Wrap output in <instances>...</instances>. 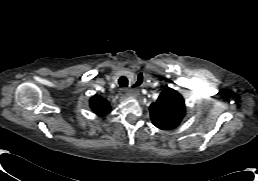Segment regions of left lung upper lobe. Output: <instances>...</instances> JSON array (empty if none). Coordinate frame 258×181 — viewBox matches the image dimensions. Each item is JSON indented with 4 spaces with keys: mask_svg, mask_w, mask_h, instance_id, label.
Returning <instances> with one entry per match:
<instances>
[{
    "mask_svg": "<svg viewBox=\"0 0 258 181\" xmlns=\"http://www.w3.org/2000/svg\"><path fill=\"white\" fill-rule=\"evenodd\" d=\"M153 124L162 130L177 127L185 116L183 97L175 90L166 88L158 100L150 105Z\"/></svg>",
    "mask_w": 258,
    "mask_h": 181,
    "instance_id": "obj_1",
    "label": "left lung upper lobe"
}]
</instances>
